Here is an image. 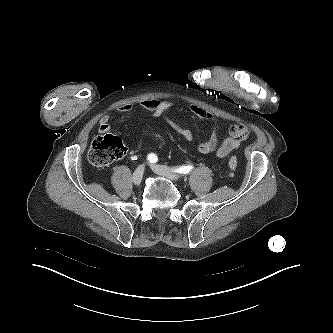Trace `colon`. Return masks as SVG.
<instances>
[{"label": "colon", "instance_id": "obj_1", "mask_svg": "<svg viewBox=\"0 0 333 333\" xmlns=\"http://www.w3.org/2000/svg\"><path fill=\"white\" fill-rule=\"evenodd\" d=\"M126 154L122 141L112 135L99 136L93 140L88 151L89 162L97 167H103L121 159ZM228 177H233L237 168V158L232 156L228 162Z\"/></svg>", "mask_w": 333, "mask_h": 333}]
</instances>
